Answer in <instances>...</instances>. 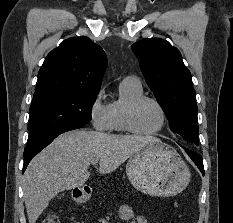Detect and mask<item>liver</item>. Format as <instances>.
Listing matches in <instances>:
<instances>
[{
	"mask_svg": "<svg viewBox=\"0 0 233 223\" xmlns=\"http://www.w3.org/2000/svg\"><path fill=\"white\" fill-rule=\"evenodd\" d=\"M152 141L160 139L153 135H113L85 129L61 133L31 159L23 175L29 223H36L49 201L60 191L85 185L92 159H99L98 173H112Z\"/></svg>",
	"mask_w": 233,
	"mask_h": 223,
	"instance_id": "liver-1",
	"label": "liver"
}]
</instances>
